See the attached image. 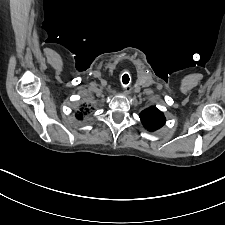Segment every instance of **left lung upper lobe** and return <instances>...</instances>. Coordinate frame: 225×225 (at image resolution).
Instances as JSON below:
<instances>
[{
    "label": "left lung upper lobe",
    "instance_id": "obj_1",
    "mask_svg": "<svg viewBox=\"0 0 225 225\" xmlns=\"http://www.w3.org/2000/svg\"><path fill=\"white\" fill-rule=\"evenodd\" d=\"M140 119L148 131H155L165 124V117L156 107L151 106L140 113Z\"/></svg>",
    "mask_w": 225,
    "mask_h": 225
}]
</instances>
